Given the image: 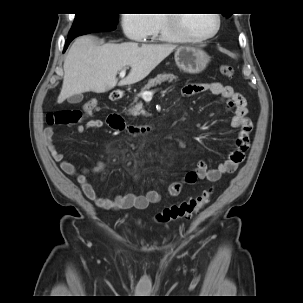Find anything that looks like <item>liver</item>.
I'll return each instance as SVG.
<instances>
[{
  "label": "liver",
  "mask_w": 303,
  "mask_h": 303,
  "mask_svg": "<svg viewBox=\"0 0 303 303\" xmlns=\"http://www.w3.org/2000/svg\"><path fill=\"white\" fill-rule=\"evenodd\" d=\"M175 45L142 44L126 42L121 44H96L95 37L82 36L75 40L64 61V79L58 103L65 99L93 91L103 93L114 88L117 73L130 66V73L118 85L134 84L169 56Z\"/></svg>",
  "instance_id": "6515ba94"
}]
</instances>
